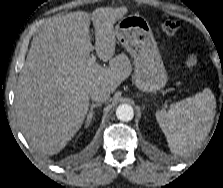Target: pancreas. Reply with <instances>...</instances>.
<instances>
[{
  "label": "pancreas",
  "instance_id": "cf45deb5",
  "mask_svg": "<svg viewBox=\"0 0 223 188\" xmlns=\"http://www.w3.org/2000/svg\"><path fill=\"white\" fill-rule=\"evenodd\" d=\"M117 60L118 61H122V60L128 61V59H127V57L125 55H121V56L117 57Z\"/></svg>",
  "mask_w": 223,
  "mask_h": 188
}]
</instances>
